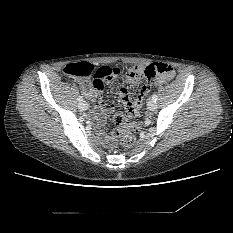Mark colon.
Segmentation results:
<instances>
[{
	"mask_svg": "<svg viewBox=\"0 0 233 233\" xmlns=\"http://www.w3.org/2000/svg\"><path fill=\"white\" fill-rule=\"evenodd\" d=\"M112 71L113 67L95 68L92 63L82 61L65 66L62 70V73L65 76H75L79 78L92 77L93 81H99L104 78V76L110 74ZM115 72L117 74L119 69L115 68ZM125 72L130 77L145 78L146 80L150 81L157 75L170 77L172 68L165 63H152L146 67L130 65L125 68ZM125 109L126 114L129 117H136L139 113V109L131 104H127ZM113 121L117 127L113 131L112 142L118 143L122 147H131L135 141L134 131L138 128V126L134 123L130 124L126 122L125 116L122 113L115 114Z\"/></svg>",
	"mask_w": 233,
	"mask_h": 233,
	"instance_id": "1",
	"label": "colon"
}]
</instances>
